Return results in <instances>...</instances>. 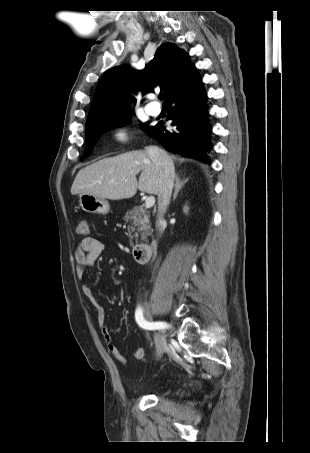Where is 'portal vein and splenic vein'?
I'll return each instance as SVG.
<instances>
[{
	"label": "portal vein and splenic vein",
	"mask_w": 310,
	"mask_h": 453,
	"mask_svg": "<svg viewBox=\"0 0 310 453\" xmlns=\"http://www.w3.org/2000/svg\"><path fill=\"white\" fill-rule=\"evenodd\" d=\"M155 204V198L154 196H150L145 200V206L146 208H151Z\"/></svg>",
	"instance_id": "18ae733b"
}]
</instances>
